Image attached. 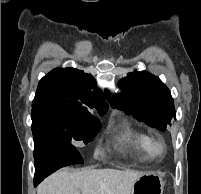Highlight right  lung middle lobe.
Returning <instances> with one entry per match:
<instances>
[{
	"instance_id": "1",
	"label": "right lung middle lobe",
	"mask_w": 201,
	"mask_h": 194,
	"mask_svg": "<svg viewBox=\"0 0 201 194\" xmlns=\"http://www.w3.org/2000/svg\"><path fill=\"white\" fill-rule=\"evenodd\" d=\"M99 129L100 123L97 119L73 116L62 105L46 103L32 106L34 142L48 138L68 147L74 140H82L87 144L93 140ZM81 163H83V159L78 153L73 155L66 165Z\"/></svg>"
}]
</instances>
